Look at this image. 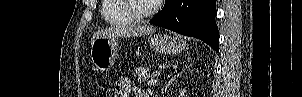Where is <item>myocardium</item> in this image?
I'll use <instances>...</instances> for the list:
<instances>
[{"label":"myocardium","instance_id":"myocardium-1","mask_svg":"<svg viewBox=\"0 0 302 97\" xmlns=\"http://www.w3.org/2000/svg\"><path fill=\"white\" fill-rule=\"evenodd\" d=\"M131 1L132 0H120L121 8L126 12L127 15L130 16L131 19H133L134 21H137V22H140V21H143V20L149 18L158 9V4L152 3L146 12L138 13L133 9V7L130 3Z\"/></svg>","mask_w":302,"mask_h":97}]
</instances>
